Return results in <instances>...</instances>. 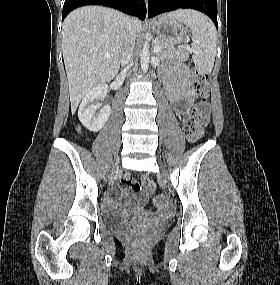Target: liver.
Here are the masks:
<instances>
[{
    "label": "liver",
    "mask_w": 280,
    "mask_h": 285,
    "mask_svg": "<svg viewBox=\"0 0 280 285\" xmlns=\"http://www.w3.org/2000/svg\"><path fill=\"white\" fill-rule=\"evenodd\" d=\"M126 19L119 11L87 6L72 11L64 20L62 51L72 114L92 88L111 81L118 74ZM131 20L138 34L141 22Z\"/></svg>",
    "instance_id": "liver-1"
}]
</instances>
